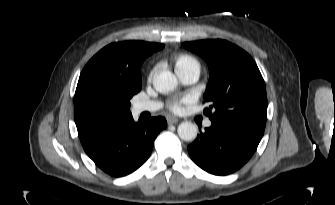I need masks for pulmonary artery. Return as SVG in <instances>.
<instances>
[{
    "label": "pulmonary artery",
    "instance_id": "obj_1",
    "mask_svg": "<svg viewBox=\"0 0 335 205\" xmlns=\"http://www.w3.org/2000/svg\"><path fill=\"white\" fill-rule=\"evenodd\" d=\"M180 80L185 84L195 83L200 76V69L196 67L187 68L184 70L176 71ZM161 108V104L156 101H141L135 104L134 110L136 113L154 112ZM206 127L211 125L210 120L204 122Z\"/></svg>",
    "mask_w": 335,
    "mask_h": 205
}]
</instances>
